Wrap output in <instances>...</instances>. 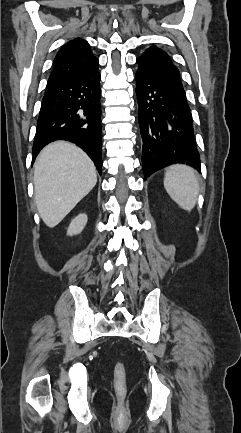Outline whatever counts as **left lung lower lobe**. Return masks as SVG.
Wrapping results in <instances>:
<instances>
[{
	"label": "left lung lower lobe",
	"instance_id": "obj_1",
	"mask_svg": "<svg viewBox=\"0 0 241 433\" xmlns=\"http://www.w3.org/2000/svg\"><path fill=\"white\" fill-rule=\"evenodd\" d=\"M135 79L145 177L176 163H185L200 171L187 101L162 75L138 70Z\"/></svg>",
	"mask_w": 241,
	"mask_h": 433
}]
</instances>
